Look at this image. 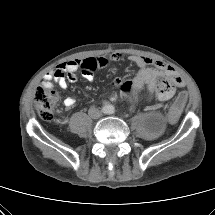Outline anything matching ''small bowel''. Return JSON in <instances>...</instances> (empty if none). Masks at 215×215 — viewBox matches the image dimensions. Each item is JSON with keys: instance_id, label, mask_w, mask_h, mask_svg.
<instances>
[{"instance_id": "c3829d8e", "label": "small bowel", "mask_w": 215, "mask_h": 215, "mask_svg": "<svg viewBox=\"0 0 215 215\" xmlns=\"http://www.w3.org/2000/svg\"><path fill=\"white\" fill-rule=\"evenodd\" d=\"M121 59V54L113 53L108 58L100 56L70 60L47 73L42 79V85H52L53 82H56L62 89H66L68 82L74 83L77 80L76 72L78 70L82 71L87 81L92 82L94 72L97 69L104 68L109 62H117ZM129 61L139 67L137 75L131 81L114 80V85L120 87L124 92L140 91L148 88L150 93L159 101H166L172 97L177 87L184 85V81L175 74L174 70L161 61L136 55L130 56ZM149 65H154V68L148 67ZM166 82L173 84L169 92L163 91ZM63 103L67 109H70L75 105L76 99L70 96Z\"/></svg>"}]
</instances>
